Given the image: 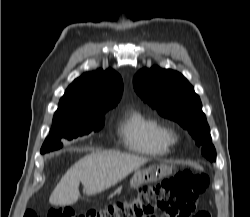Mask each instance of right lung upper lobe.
<instances>
[{
	"instance_id": "right-lung-upper-lobe-1",
	"label": "right lung upper lobe",
	"mask_w": 250,
	"mask_h": 217,
	"mask_svg": "<svg viewBox=\"0 0 250 217\" xmlns=\"http://www.w3.org/2000/svg\"><path fill=\"white\" fill-rule=\"evenodd\" d=\"M123 83L113 69L84 73L67 88L53 120L85 118L113 108L121 98Z\"/></svg>"
}]
</instances>
